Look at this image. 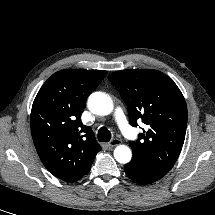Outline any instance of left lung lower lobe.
<instances>
[{"mask_svg":"<svg viewBox=\"0 0 215 215\" xmlns=\"http://www.w3.org/2000/svg\"><path fill=\"white\" fill-rule=\"evenodd\" d=\"M124 170L132 180L140 184H151L165 175L148 170L132 161L124 166Z\"/></svg>","mask_w":215,"mask_h":215,"instance_id":"1","label":"left lung lower lobe"}]
</instances>
